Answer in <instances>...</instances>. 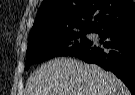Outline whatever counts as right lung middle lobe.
<instances>
[{
	"instance_id": "obj_1",
	"label": "right lung middle lobe",
	"mask_w": 135,
	"mask_h": 95,
	"mask_svg": "<svg viewBox=\"0 0 135 95\" xmlns=\"http://www.w3.org/2000/svg\"><path fill=\"white\" fill-rule=\"evenodd\" d=\"M93 31L84 29L65 33L32 35L26 52L25 69L31 64L40 63L53 57L72 56L91 43L86 35Z\"/></svg>"
}]
</instances>
